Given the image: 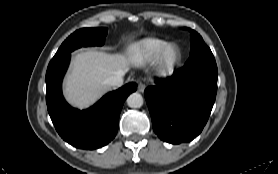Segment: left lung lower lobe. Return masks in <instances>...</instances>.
<instances>
[{"label": "left lung lower lobe", "mask_w": 278, "mask_h": 174, "mask_svg": "<svg viewBox=\"0 0 278 174\" xmlns=\"http://www.w3.org/2000/svg\"><path fill=\"white\" fill-rule=\"evenodd\" d=\"M218 71L184 67L145 89L158 137L172 144L189 142L203 130L215 102Z\"/></svg>", "instance_id": "left-lung-lower-lobe-1"}]
</instances>
